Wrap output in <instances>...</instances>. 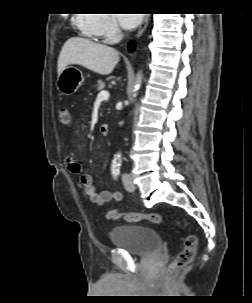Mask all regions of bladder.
<instances>
[{
	"label": "bladder",
	"mask_w": 252,
	"mask_h": 303,
	"mask_svg": "<svg viewBox=\"0 0 252 303\" xmlns=\"http://www.w3.org/2000/svg\"><path fill=\"white\" fill-rule=\"evenodd\" d=\"M110 239L114 246L134 257H147L161 251L158 231L145 225H119L112 228Z\"/></svg>",
	"instance_id": "1"
}]
</instances>
